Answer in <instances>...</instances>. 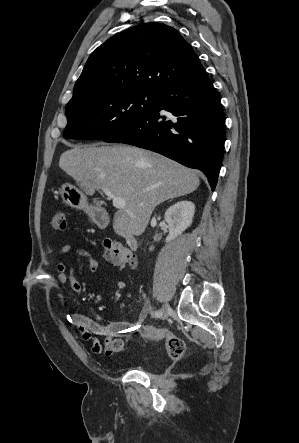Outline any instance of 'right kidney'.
<instances>
[{
	"mask_svg": "<svg viewBox=\"0 0 299 443\" xmlns=\"http://www.w3.org/2000/svg\"><path fill=\"white\" fill-rule=\"evenodd\" d=\"M195 205L190 201H180L170 206L165 212V221L168 224L169 235L166 242L174 240L192 223ZM153 250V247H150Z\"/></svg>",
	"mask_w": 299,
	"mask_h": 443,
	"instance_id": "right-kidney-1",
	"label": "right kidney"
}]
</instances>
